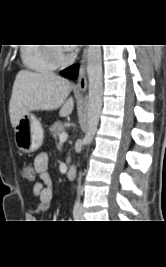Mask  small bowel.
<instances>
[{"label":"small bowel","instance_id":"obj_1","mask_svg":"<svg viewBox=\"0 0 166 267\" xmlns=\"http://www.w3.org/2000/svg\"><path fill=\"white\" fill-rule=\"evenodd\" d=\"M48 164L49 156L46 152L38 154L34 159L32 170L38 178L33 182V192L38 199V204L34 210L26 214L27 218L33 219L36 215L47 212L51 206L54 187L48 173Z\"/></svg>","mask_w":166,"mask_h":267}]
</instances>
